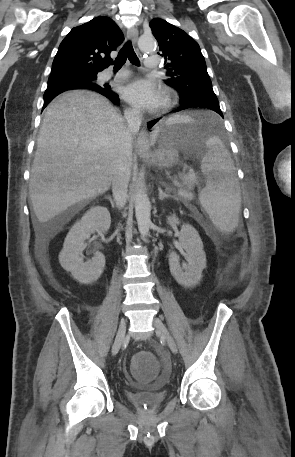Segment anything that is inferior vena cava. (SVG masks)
I'll use <instances>...</instances> for the list:
<instances>
[{
	"instance_id": "inferior-vena-cava-1",
	"label": "inferior vena cava",
	"mask_w": 295,
	"mask_h": 457,
	"mask_svg": "<svg viewBox=\"0 0 295 457\" xmlns=\"http://www.w3.org/2000/svg\"><path fill=\"white\" fill-rule=\"evenodd\" d=\"M128 129L132 134L136 133L142 122V115L139 109L125 111L124 114ZM130 179V168L128 164L119 159L116 164L115 173L112 179V192L116 206L121 209L127 200V189Z\"/></svg>"
}]
</instances>
